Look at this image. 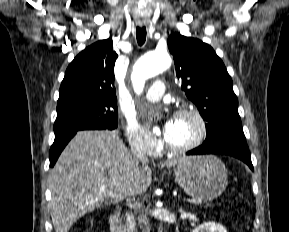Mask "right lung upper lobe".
<instances>
[{"label": "right lung upper lobe", "instance_id": "obj_1", "mask_svg": "<svg viewBox=\"0 0 289 232\" xmlns=\"http://www.w3.org/2000/svg\"><path fill=\"white\" fill-rule=\"evenodd\" d=\"M117 57L111 39L100 40L79 53L66 70L58 106L76 100L117 102L114 87Z\"/></svg>", "mask_w": 289, "mask_h": 232}]
</instances>
